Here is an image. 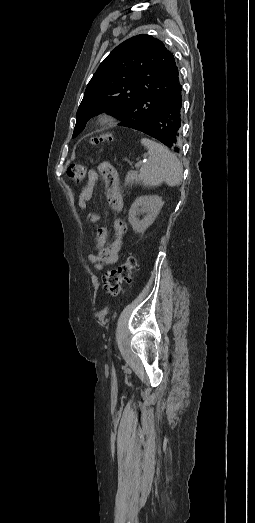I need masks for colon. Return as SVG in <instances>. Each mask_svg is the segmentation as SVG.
<instances>
[{
    "mask_svg": "<svg viewBox=\"0 0 255 523\" xmlns=\"http://www.w3.org/2000/svg\"><path fill=\"white\" fill-rule=\"evenodd\" d=\"M112 140V134L106 133L91 138L92 144H99ZM67 174L75 183H80L85 178L86 167L83 164H71ZM137 268L135 256H128L120 265L106 272L105 291L111 297L118 296L122 292L123 285L132 281V273Z\"/></svg>",
    "mask_w": 255,
    "mask_h": 523,
    "instance_id": "5ec220e1",
    "label": "colon"
}]
</instances>
